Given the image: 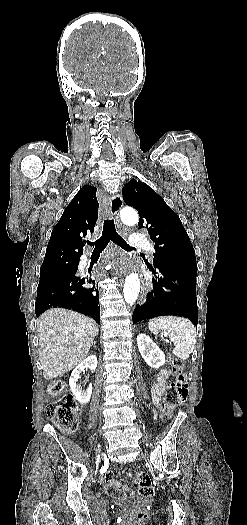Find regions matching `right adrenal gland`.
I'll use <instances>...</instances> for the list:
<instances>
[{"instance_id": "obj_1", "label": "right adrenal gland", "mask_w": 247, "mask_h": 525, "mask_svg": "<svg viewBox=\"0 0 247 525\" xmlns=\"http://www.w3.org/2000/svg\"><path fill=\"white\" fill-rule=\"evenodd\" d=\"M92 345H96V341H94V343H92Z\"/></svg>"}]
</instances>
